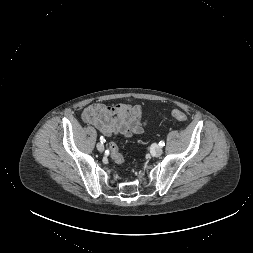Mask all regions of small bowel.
Masks as SVG:
<instances>
[{"label": "small bowel", "mask_w": 253, "mask_h": 253, "mask_svg": "<svg viewBox=\"0 0 253 253\" xmlns=\"http://www.w3.org/2000/svg\"><path fill=\"white\" fill-rule=\"evenodd\" d=\"M143 115L140 105L93 103L84 109L82 118L106 136L130 137L144 131Z\"/></svg>", "instance_id": "c3829d8e"}]
</instances>
